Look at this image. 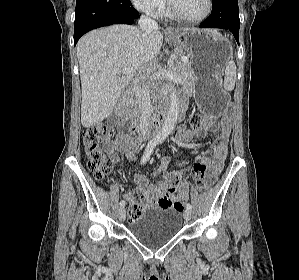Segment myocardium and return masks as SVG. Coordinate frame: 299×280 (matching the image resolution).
<instances>
[{"label": "myocardium", "instance_id": "obj_1", "mask_svg": "<svg viewBox=\"0 0 299 280\" xmlns=\"http://www.w3.org/2000/svg\"><path fill=\"white\" fill-rule=\"evenodd\" d=\"M207 2V8H206V11L205 13L199 17V18H195V19H192V18H188L186 16H184L173 4V1L172 0H166V6H167V10L169 11V13L179 19V20H182L184 22H187V23H193V24H196V23H201L203 22L205 19H207L209 17V15L211 14V11H212V0H206Z\"/></svg>", "mask_w": 299, "mask_h": 280}]
</instances>
